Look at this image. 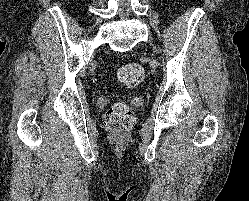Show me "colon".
Instances as JSON below:
<instances>
[{
	"label": "colon",
	"instance_id": "obj_1",
	"mask_svg": "<svg viewBox=\"0 0 249 201\" xmlns=\"http://www.w3.org/2000/svg\"><path fill=\"white\" fill-rule=\"evenodd\" d=\"M144 71L138 64L131 63L122 66L117 72L118 81L127 88H134L141 83ZM135 118L132 108L124 102L112 105L104 115V125L113 134H124L128 132Z\"/></svg>",
	"mask_w": 249,
	"mask_h": 201
}]
</instances>
